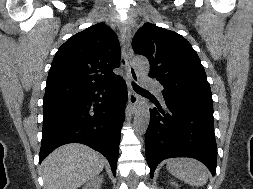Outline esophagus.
Listing matches in <instances>:
<instances>
[{
    "label": "esophagus",
    "instance_id": "obj_1",
    "mask_svg": "<svg viewBox=\"0 0 253 189\" xmlns=\"http://www.w3.org/2000/svg\"><path fill=\"white\" fill-rule=\"evenodd\" d=\"M120 37L123 46V55L125 58L128 74H129V81H128V104H127V112L129 114H133L136 111V107L139 101L138 95L133 91L130 81L134 83L139 82L137 71L133 68L131 58L132 52L130 49V37L131 31L130 27L127 23L122 22L120 24Z\"/></svg>",
    "mask_w": 253,
    "mask_h": 189
}]
</instances>
